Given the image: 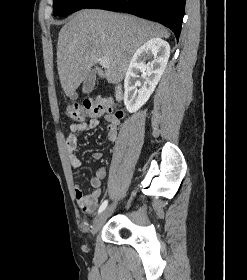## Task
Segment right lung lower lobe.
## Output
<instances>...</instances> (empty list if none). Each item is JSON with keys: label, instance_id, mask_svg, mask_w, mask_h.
Here are the masks:
<instances>
[{"label": "right lung lower lobe", "instance_id": "right-lung-lower-lobe-1", "mask_svg": "<svg viewBox=\"0 0 247 280\" xmlns=\"http://www.w3.org/2000/svg\"><path fill=\"white\" fill-rule=\"evenodd\" d=\"M88 8L122 11L160 22L179 39L185 0H97Z\"/></svg>", "mask_w": 247, "mask_h": 280}]
</instances>
